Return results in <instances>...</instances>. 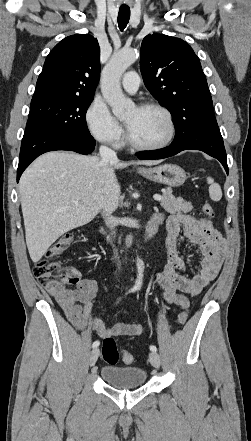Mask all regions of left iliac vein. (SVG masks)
Here are the masks:
<instances>
[{"instance_id": "left-iliac-vein-1", "label": "left iliac vein", "mask_w": 251, "mask_h": 441, "mask_svg": "<svg viewBox=\"0 0 251 441\" xmlns=\"http://www.w3.org/2000/svg\"><path fill=\"white\" fill-rule=\"evenodd\" d=\"M149 361L152 364V366L155 368H159L161 365L160 356L156 352H151L149 354Z\"/></svg>"}]
</instances>
